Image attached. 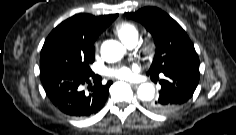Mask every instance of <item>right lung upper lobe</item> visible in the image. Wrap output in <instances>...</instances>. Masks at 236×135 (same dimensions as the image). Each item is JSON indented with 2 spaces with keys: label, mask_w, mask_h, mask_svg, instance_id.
Segmentation results:
<instances>
[{
  "label": "right lung upper lobe",
  "mask_w": 236,
  "mask_h": 135,
  "mask_svg": "<svg viewBox=\"0 0 236 135\" xmlns=\"http://www.w3.org/2000/svg\"><path fill=\"white\" fill-rule=\"evenodd\" d=\"M118 14L93 16L90 14H77L63 21L52 32L60 29H71L79 32L84 37L95 41L99 34L106 29Z\"/></svg>",
  "instance_id": "cb5924a9"
}]
</instances>
